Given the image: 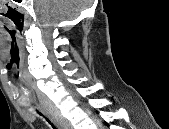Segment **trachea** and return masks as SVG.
I'll list each match as a JSON object with an SVG mask.
<instances>
[{
  "instance_id": "3493384b",
  "label": "trachea",
  "mask_w": 169,
  "mask_h": 129,
  "mask_svg": "<svg viewBox=\"0 0 169 129\" xmlns=\"http://www.w3.org/2000/svg\"><path fill=\"white\" fill-rule=\"evenodd\" d=\"M37 112H38V111H37ZM38 114H39V115H42L40 112H38ZM45 119H46V121H47L49 124H51V126H52L53 129H56L55 126H54L47 118H45Z\"/></svg>"
}]
</instances>
